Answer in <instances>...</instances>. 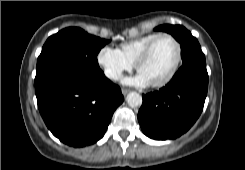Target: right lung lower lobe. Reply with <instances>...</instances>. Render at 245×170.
Here are the masks:
<instances>
[{
  "mask_svg": "<svg viewBox=\"0 0 245 170\" xmlns=\"http://www.w3.org/2000/svg\"><path fill=\"white\" fill-rule=\"evenodd\" d=\"M40 114L61 142L84 147L101 139L124 101L101 69H64L35 84Z\"/></svg>",
  "mask_w": 245,
  "mask_h": 170,
  "instance_id": "1",
  "label": "right lung lower lobe"
}]
</instances>
